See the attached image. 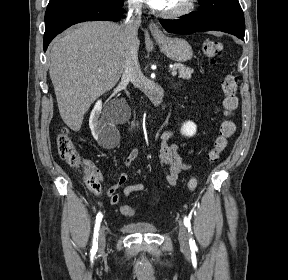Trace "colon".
<instances>
[{
	"label": "colon",
	"instance_id": "5ec220e1",
	"mask_svg": "<svg viewBox=\"0 0 288 280\" xmlns=\"http://www.w3.org/2000/svg\"><path fill=\"white\" fill-rule=\"evenodd\" d=\"M202 50L211 62H215L224 52V46L217 40H206L202 45ZM222 90L224 93L223 108L226 119L220 125L219 136L214 142L213 148L208 153V160L215 162L219 155L227 148L229 138L235 133L236 127L232 120L235 110L238 107V78L234 74H228L222 81ZM57 149L60 158L69 166L75 168H83L84 177L87 187L90 191L97 193L100 191V180L97 176L95 168L87 160L80 156L70 134L67 129H62L57 136ZM187 187L191 191H195L198 187L196 178H191ZM120 212L126 216H133L135 210L129 205H122Z\"/></svg>",
	"mask_w": 288,
	"mask_h": 280
}]
</instances>
